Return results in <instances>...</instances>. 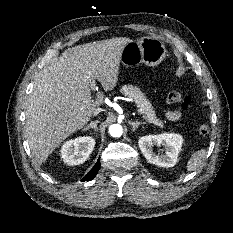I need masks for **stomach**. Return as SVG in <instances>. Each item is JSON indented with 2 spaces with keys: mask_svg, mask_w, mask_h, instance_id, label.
I'll return each instance as SVG.
<instances>
[{
  "mask_svg": "<svg viewBox=\"0 0 233 233\" xmlns=\"http://www.w3.org/2000/svg\"><path fill=\"white\" fill-rule=\"evenodd\" d=\"M166 56L163 42L152 37H142L129 42L123 49L121 61L126 66L144 63L147 66L159 65Z\"/></svg>",
  "mask_w": 233,
  "mask_h": 233,
  "instance_id": "stomach-1",
  "label": "stomach"
}]
</instances>
